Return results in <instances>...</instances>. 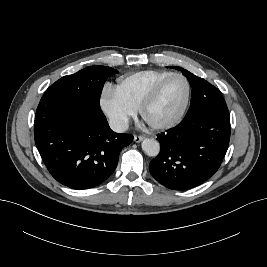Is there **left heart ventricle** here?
I'll return each mask as SVG.
<instances>
[{
	"label": "left heart ventricle",
	"instance_id": "1",
	"mask_svg": "<svg viewBox=\"0 0 267 267\" xmlns=\"http://www.w3.org/2000/svg\"><path fill=\"white\" fill-rule=\"evenodd\" d=\"M186 95V85L181 78L169 80L156 101L148 108L146 120L162 123L172 119L181 109Z\"/></svg>",
	"mask_w": 267,
	"mask_h": 267
}]
</instances>
